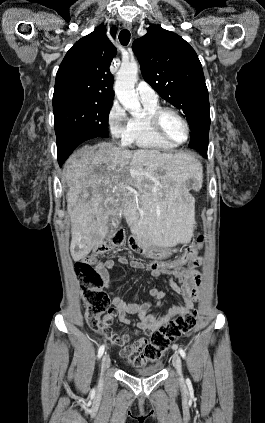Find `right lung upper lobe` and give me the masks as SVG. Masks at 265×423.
<instances>
[{"label": "right lung upper lobe", "instance_id": "cb5924a9", "mask_svg": "<svg viewBox=\"0 0 265 423\" xmlns=\"http://www.w3.org/2000/svg\"><path fill=\"white\" fill-rule=\"evenodd\" d=\"M116 30L113 26L111 34ZM116 51L103 24L76 42L59 66L53 100L79 97L111 103L114 92L109 67Z\"/></svg>", "mask_w": 265, "mask_h": 423}]
</instances>
